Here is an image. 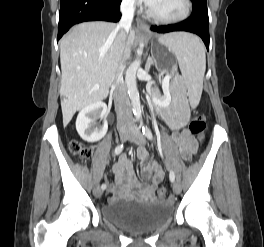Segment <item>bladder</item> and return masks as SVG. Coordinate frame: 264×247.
Listing matches in <instances>:
<instances>
[{
  "label": "bladder",
  "instance_id": "1",
  "mask_svg": "<svg viewBox=\"0 0 264 247\" xmlns=\"http://www.w3.org/2000/svg\"><path fill=\"white\" fill-rule=\"evenodd\" d=\"M173 206L163 200L139 202L124 200L103 206L101 217L131 233L155 230L171 219Z\"/></svg>",
  "mask_w": 264,
  "mask_h": 247
}]
</instances>
